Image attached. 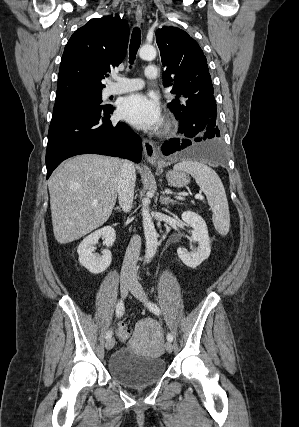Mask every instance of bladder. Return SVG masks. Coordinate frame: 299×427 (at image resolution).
<instances>
[{
  "instance_id": "31cf9c89",
  "label": "bladder",
  "mask_w": 299,
  "mask_h": 427,
  "mask_svg": "<svg viewBox=\"0 0 299 427\" xmlns=\"http://www.w3.org/2000/svg\"><path fill=\"white\" fill-rule=\"evenodd\" d=\"M108 373L123 386L144 387L157 383L165 375L166 363L160 356H142L122 347L111 355Z\"/></svg>"
}]
</instances>
